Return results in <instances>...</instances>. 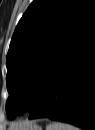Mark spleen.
Returning <instances> with one entry per match:
<instances>
[{
    "label": "spleen",
    "mask_w": 95,
    "mask_h": 130,
    "mask_svg": "<svg viewBox=\"0 0 95 130\" xmlns=\"http://www.w3.org/2000/svg\"><path fill=\"white\" fill-rule=\"evenodd\" d=\"M46 130H79L77 127L62 122H52L47 125Z\"/></svg>",
    "instance_id": "obj_1"
}]
</instances>
